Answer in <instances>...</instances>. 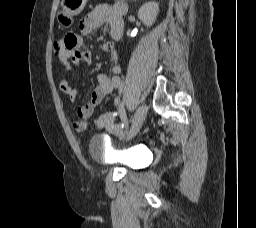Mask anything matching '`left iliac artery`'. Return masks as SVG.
I'll return each instance as SVG.
<instances>
[{
	"label": "left iliac artery",
	"mask_w": 256,
	"mask_h": 228,
	"mask_svg": "<svg viewBox=\"0 0 256 228\" xmlns=\"http://www.w3.org/2000/svg\"><path fill=\"white\" fill-rule=\"evenodd\" d=\"M119 113H120V117L125 125V127L128 126V119H127V116H126V113H125V108H124V103H120L119 105Z\"/></svg>",
	"instance_id": "44dca946"
}]
</instances>
